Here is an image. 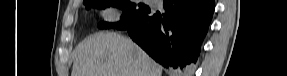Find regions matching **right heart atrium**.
Wrapping results in <instances>:
<instances>
[{
	"label": "right heart atrium",
	"mask_w": 287,
	"mask_h": 76,
	"mask_svg": "<svg viewBox=\"0 0 287 76\" xmlns=\"http://www.w3.org/2000/svg\"><path fill=\"white\" fill-rule=\"evenodd\" d=\"M103 16L107 21H114L116 20V12L113 9H107L103 12Z\"/></svg>",
	"instance_id": "1"
}]
</instances>
